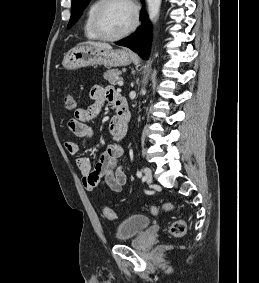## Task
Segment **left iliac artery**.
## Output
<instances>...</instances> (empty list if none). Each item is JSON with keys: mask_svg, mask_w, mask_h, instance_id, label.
Wrapping results in <instances>:
<instances>
[{"mask_svg": "<svg viewBox=\"0 0 259 283\" xmlns=\"http://www.w3.org/2000/svg\"><path fill=\"white\" fill-rule=\"evenodd\" d=\"M137 176L141 177L142 176V172L141 171H137Z\"/></svg>", "mask_w": 259, "mask_h": 283, "instance_id": "obj_1", "label": "left iliac artery"}]
</instances>
